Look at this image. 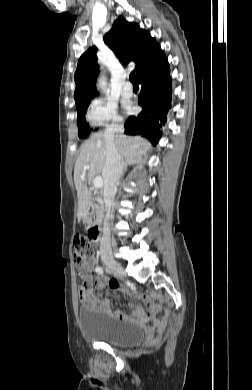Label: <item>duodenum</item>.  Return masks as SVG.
Instances as JSON below:
<instances>
[{
  "label": "duodenum",
  "instance_id": "410a0bca",
  "mask_svg": "<svg viewBox=\"0 0 252 390\" xmlns=\"http://www.w3.org/2000/svg\"><path fill=\"white\" fill-rule=\"evenodd\" d=\"M101 201V198L99 196L95 197L94 201H93V204L86 209L85 211V218H89L92 214H93V211L94 209L96 208L97 206V203ZM93 229L95 230V233H96V239H99L100 238V232H101V229H102V221L100 220H97L94 224V227Z\"/></svg>",
  "mask_w": 252,
  "mask_h": 390
}]
</instances>
